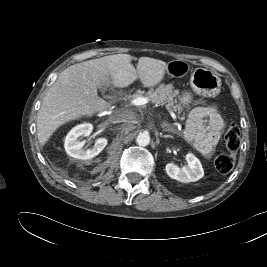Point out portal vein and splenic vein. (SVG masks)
Returning <instances> with one entry per match:
<instances>
[{
    "label": "portal vein and splenic vein",
    "instance_id": "portal-vein-and-splenic-vein-1",
    "mask_svg": "<svg viewBox=\"0 0 267 267\" xmlns=\"http://www.w3.org/2000/svg\"><path fill=\"white\" fill-rule=\"evenodd\" d=\"M148 98L146 97H137L135 98L134 100H132L131 104L132 105H136V106H139V105H145L146 103H148ZM170 112V115L171 117L176 120L177 117L176 115L174 114V112L172 110L169 111Z\"/></svg>",
    "mask_w": 267,
    "mask_h": 267
}]
</instances>
